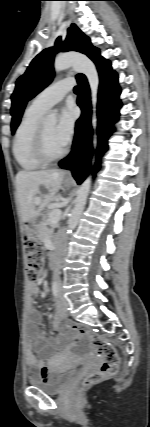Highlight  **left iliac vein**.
Returning a JSON list of instances; mask_svg holds the SVG:
<instances>
[{
  "instance_id": "obj_1",
  "label": "left iliac vein",
  "mask_w": 150,
  "mask_h": 427,
  "mask_svg": "<svg viewBox=\"0 0 150 427\" xmlns=\"http://www.w3.org/2000/svg\"><path fill=\"white\" fill-rule=\"evenodd\" d=\"M59 298H60V303L63 307L68 308L70 306V303L67 301V299L63 296L62 290L61 288H59Z\"/></svg>"
}]
</instances>
